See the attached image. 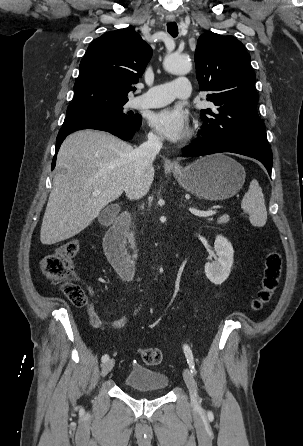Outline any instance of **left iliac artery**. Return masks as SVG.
I'll return each instance as SVG.
<instances>
[{"mask_svg": "<svg viewBox=\"0 0 303 446\" xmlns=\"http://www.w3.org/2000/svg\"><path fill=\"white\" fill-rule=\"evenodd\" d=\"M183 350H184V353H185V356H186V359H187V363H188V366H189L191 372L196 374L195 364H194V357H193V354H192V351H191L190 347L187 344H184Z\"/></svg>", "mask_w": 303, "mask_h": 446, "instance_id": "44dca946", "label": "left iliac artery"}]
</instances>
